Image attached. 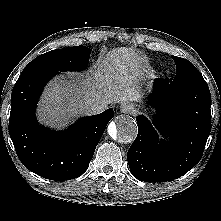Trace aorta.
Here are the masks:
<instances>
[{"instance_id": "762f6f07", "label": "aorta", "mask_w": 221, "mask_h": 221, "mask_svg": "<svg viewBox=\"0 0 221 221\" xmlns=\"http://www.w3.org/2000/svg\"><path fill=\"white\" fill-rule=\"evenodd\" d=\"M108 133L114 141L130 143L137 136V123L130 116H118L108 125Z\"/></svg>"}]
</instances>
